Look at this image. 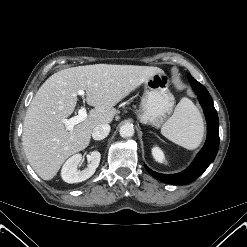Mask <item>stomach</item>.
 I'll list each match as a JSON object with an SVG mask.
<instances>
[{"label": "stomach", "instance_id": "0dacf381", "mask_svg": "<svg viewBox=\"0 0 247 247\" xmlns=\"http://www.w3.org/2000/svg\"><path fill=\"white\" fill-rule=\"evenodd\" d=\"M168 87L169 77L163 71L144 82V93L138 112V119L142 124L158 128L171 115L175 99Z\"/></svg>", "mask_w": 247, "mask_h": 247}]
</instances>
